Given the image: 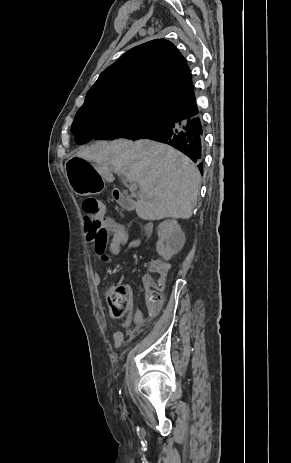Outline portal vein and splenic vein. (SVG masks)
<instances>
[{
    "label": "portal vein and splenic vein",
    "instance_id": "portal-vein-and-splenic-vein-1",
    "mask_svg": "<svg viewBox=\"0 0 291 463\" xmlns=\"http://www.w3.org/2000/svg\"><path fill=\"white\" fill-rule=\"evenodd\" d=\"M124 184L129 188L131 192H136L137 191V184L133 181L130 180H125Z\"/></svg>",
    "mask_w": 291,
    "mask_h": 463
}]
</instances>
